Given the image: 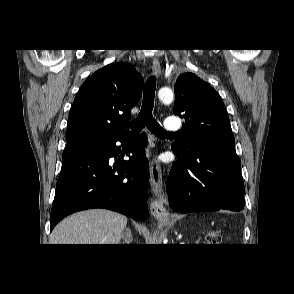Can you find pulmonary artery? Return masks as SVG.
Instances as JSON below:
<instances>
[{
    "label": "pulmonary artery",
    "mask_w": 294,
    "mask_h": 294,
    "mask_svg": "<svg viewBox=\"0 0 294 294\" xmlns=\"http://www.w3.org/2000/svg\"><path fill=\"white\" fill-rule=\"evenodd\" d=\"M165 126L168 130H178L181 127V123L175 116H169L166 119Z\"/></svg>",
    "instance_id": "e3ab8cb5"
}]
</instances>
